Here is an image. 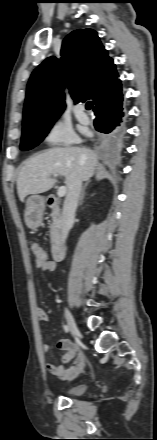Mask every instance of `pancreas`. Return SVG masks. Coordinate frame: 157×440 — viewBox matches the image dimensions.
<instances>
[{
	"label": "pancreas",
	"instance_id": "cf45deb5",
	"mask_svg": "<svg viewBox=\"0 0 157 440\" xmlns=\"http://www.w3.org/2000/svg\"><path fill=\"white\" fill-rule=\"evenodd\" d=\"M52 223L50 224V238L52 245L56 244L61 233L62 218L58 209L54 208L52 213Z\"/></svg>",
	"mask_w": 157,
	"mask_h": 440
}]
</instances>
